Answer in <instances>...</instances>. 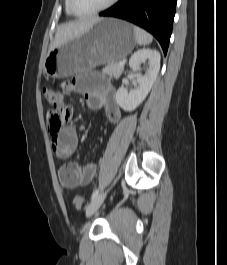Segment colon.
Segmentation results:
<instances>
[{
  "label": "colon",
  "instance_id": "5ec220e1",
  "mask_svg": "<svg viewBox=\"0 0 227 265\" xmlns=\"http://www.w3.org/2000/svg\"><path fill=\"white\" fill-rule=\"evenodd\" d=\"M43 94L46 101L52 106V110L47 116V125L49 132L55 135L61 130L63 124L71 118L72 109L64 103L61 93L44 89ZM73 204L77 209H82L85 206V200L80 196H76Z\"/></svg>",
  "mask_w": 227,
  "mask_h": 265
}]
</instances>
